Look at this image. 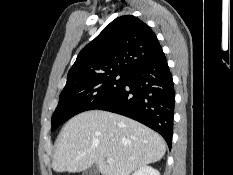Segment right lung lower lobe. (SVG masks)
<instances>
[{
    "label": "right lung lower lobe",
    "instance_id": "98d812e1",
    "mask_svg": "<svg viewBox=\"0 0 233 175\" xmlns=\"http://www.w3.org/2000/svg\"><path fill=\"white\" fill-rule=\"evenodd\" d=\"M175 92L164 53L128 74L121 91L97 109L118 113L157 131L171 148Z\"/></svg>",
    "mask_w": 233,
    "mask_h": 175
}]
</instances>
